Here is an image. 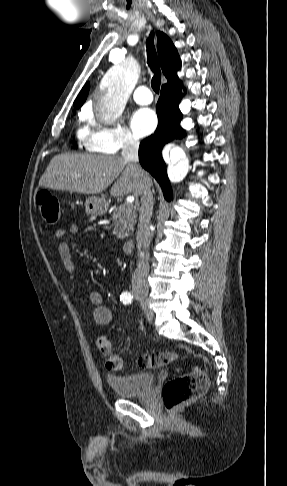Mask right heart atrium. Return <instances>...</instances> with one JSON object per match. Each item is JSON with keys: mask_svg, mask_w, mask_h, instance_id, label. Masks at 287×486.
Returning a JSON list of instances; mask_svg holds the SVG:
<instances>
[{"mask_svg": "<svg viewBox=\"0 0 287 486\" xmlns=\"http://www.w3.org/2000/svg\"><path fill=\"white\" fill-rule=\"evenodd\" d=\"M85 119L92 125L84 141V146L88 151L116 154L121 150L138 147V140L124 124H99L94 121L93 116L89 113L86 114Z\"/></svg>", "mask_w": 287, "mask_h": 486, "instance_id": "1", "label": "right heart atrium"}]
</instances>
